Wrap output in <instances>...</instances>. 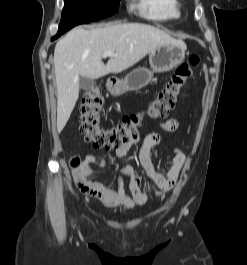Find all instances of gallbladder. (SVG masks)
<instances>
[{
	"mask_svg": "<svg viewBox=\"0 0 247 265\" xmlns=\"http://www.w3.org/2000/svg\"><path fill=\"white\" fill-rule=\"evenodd\" d=\"M80 88L83 90H89L94 87L95 81L93 79L81 76L79 79Z\"/></svg>",
	"mask_w": 247,
	"mask_h": 265,
	"instance_id": "bac80fb5",
	"label": "gallbladder"
}]
</instances>
